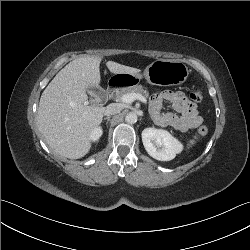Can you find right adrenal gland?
Masks as SVG:
<instances>
[{
	"label": "right adrenal gland",
	"mask_w": 250,
	"mask_h": 250,
	"mask_svg": "<svg viewBox=\"0 0 250 250\" xmlns=\"http://www.w3.org/2000/svg\"><path fill=\"white\" fill-rule=\"evenodd\" d=\"M110 118H111V116H108V117L104 118V121H107V124H108V122L110 121Z\"/></svg>",
	"instance_id": "1"
}]
</instances>
